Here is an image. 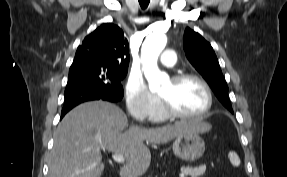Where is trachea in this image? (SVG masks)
I'll return each instance as SVG.
<instances>
[{
  "mask_svg": "<svg viewBox=\"0 0 287 177\" xmlns=\"http://www.w3.org/2000/svg\"><path fill=\"white\" fill-rule=\"evenodd\" d=\"M138 1L142 9L147 8L150 2V0H138Z\"/></svg>",
  "mask_w": 287,
  "mask_h": 177,
  "instance_id": "1",
  "label": "trachea"
}]
</instances>
